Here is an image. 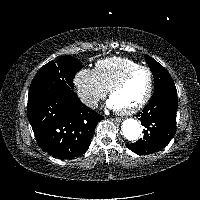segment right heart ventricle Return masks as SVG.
<instances>
[{"label":"right heart ventricle","mask_w":200,"mask_h":200,"mask_svg":"<svg viewBox=\"0 0 200 200\" xmlns=\"http://www.w3.org/2000/svg\"><path fill=\"white\" fill-rule=\"evenodd\" d=\"M137 66L140 65L130 58L114 56L99 60L94 71L100 83L109 89L126 72Z\"/></svg>","instance_id":"e07e8e85"}]
</instances>
